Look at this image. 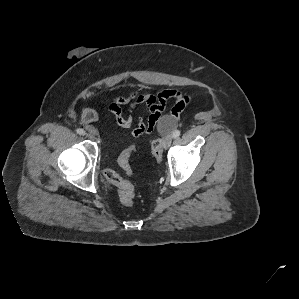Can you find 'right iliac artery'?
Segmentation results:
<instances>
[{
    "instance_id": "right-iliac-artery-1",
    "label": "right iliac artery",
    "mask_w": 299,
    "mask_h": 299,
    "mask_svg": "<svg viewBox=\"0 0 299 299\" xmlns=\"http://www.w3.org/2000/svg\"><path fill=\"white\" fill-rule=\"evenodd\" d=\"M76 132L79 134V135H85V131L81 128L77 129Z\"/></svg>"
}]
</instances>
